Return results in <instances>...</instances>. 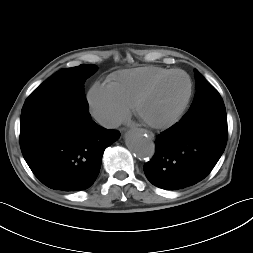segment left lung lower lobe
Here are the masks:
<instances>
[{
  "mask_svg": "<svg viewBox=\"0 0 253 253\" xmlns=\"http://www.w3.org/2000/svg\"><path fill=\"white\" fill-rule=\"evenodd\" d=\"M226 112L181 119L157 136L156 152L144 173L155 186L176 190L203 180L227 143Z\"/></svg>",
  "mask_w": 253,
  "mask_h": 253,
  "instance_id": "obj_1",
  "label": "left lung lower lobe"
}]
</instances>
